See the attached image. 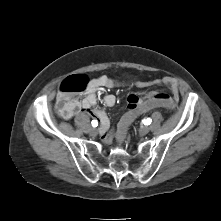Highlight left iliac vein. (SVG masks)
<instances>
[{
	"mask_svg": "<svg viewBox=\"0 0 221 221\" xmlns=\"http://www.w3.org/2000/svg\"><path fill=\"white\" fill-rule=\"evenodd\" d=\"M139 131L142 135H145L150 131V127L149 126H144V127L140 128Z\"/></svg>",
	"mask_w": 221,
	"mask_h": 221,
	"instance_id": "left-iliac-vein-1",
	"label": "left iliac vein"
}]
</instances>
